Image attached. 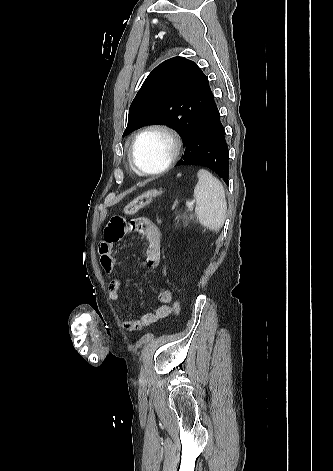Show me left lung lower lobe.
<instances>
[{
  "label": "left lung lower lobe",
  "instance_id": "obj_1",
  "mask_svg": "<svg viewBox=\"0 0 333 471\" xmlns=\"http://www.w3.org/2000/svg\"><path fill=\"white\" fill-rule=\"evenodd\" d=\"M228 146L213 94L193 127L183 157L176 164H195L215 171L228 183Z\"/></svg>",
  "mask_w": 333,
  "mask_h": 471
}]
</instances>
